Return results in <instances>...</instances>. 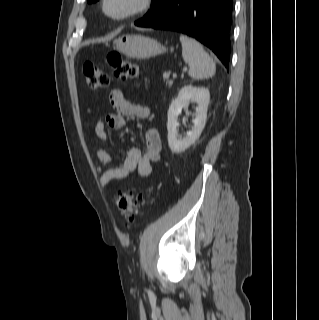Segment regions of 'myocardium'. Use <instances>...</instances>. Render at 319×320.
I'll use <instances>...</instances> for the list:
<instances>
[{
  "instance_id": "f54148a6",
  "label": "myocardium",
  "mask_w": 319,
  "mask_h": 320,
  "mask_svg": "<svg viewBox=\"0 0 319 320\" xmlns=\"http://www.w3.org/2000/svg\"><path fill=\"white\" fill-rule=\"evenodd\" d=\"M109 1L110 0H102L101 9L103 14L114 22H124L139 15L145 14L152 10L155 3V0H134L133 5L126 12L121 15H114L107 9Z\"/></svg>"
}]
</instances>
